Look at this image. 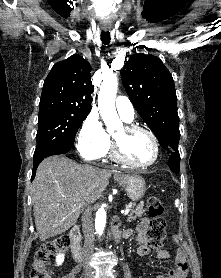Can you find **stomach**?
I'll list each match as a JSON object with an SVG mask.
<instances>
[{
    "instance_id": "0dacf381",
    "label": "stomach",
    "mask_w": 221,
    "mask_h": 278,
    "mask_svg": "<svg viewBox=\"0 0 221 278\" xmlns=\"http://www.w3.org/2000/svg\"><path fill=\"white\" fill-rule=\"evenodd\" d=\"M115 181L123 187L127 196L132 201H138L146 192V184L144 179L139 175H123L118 174L114 177Z\"/></svg>"
}]
</instances>
